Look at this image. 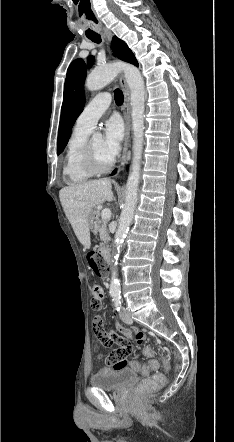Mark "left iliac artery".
<instances>
[{
  "mask_svg": "<svg viewBox=\"0 0 234 442\" xmlns=\"http://www.w3.org/2000/svg\"><path fill=\"white\" fill-rule=\"evenodd\" d=\"M114 303H115L116 310L119 311L120 310V306H121V296H120V294H116L114 296Z\"/></svg>",
  "mask_w": 234,
  "mask_h": 442,
  "instance_id": "44dca946",
  "label": "left iliac artery"
}]
</instances>
